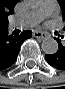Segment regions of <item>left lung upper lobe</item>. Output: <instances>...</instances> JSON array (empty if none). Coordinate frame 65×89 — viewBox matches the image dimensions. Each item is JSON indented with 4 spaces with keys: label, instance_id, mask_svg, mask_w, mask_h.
<instances>
[{
    "label": "left lung upper lobe",
    "instance_id": "left-lung-upper-lobe-1",
    "mask_svg": "<svg viewBox=\"0 0 65 89\" xmlns=\"http://www.w3.org/2000/svg\"><path fill=\"white\" fill-rule=\"evenodd\" d=\"M58 1H59V4H60V7L62 9L63 18L65 20V0H58Z\"/></svg>",
    "mask_w": 65,
    "mask_h": 89
}]
</instances>
